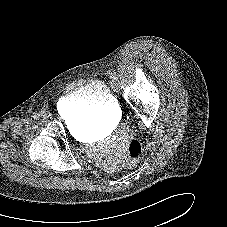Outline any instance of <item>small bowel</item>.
I'll list each match as a JSON object with an SVG mask.
<instances>
[{"mask_svg": "<svg viewBox=\"0 0 227 227\" xmlns=\"http://www.w3.org/2000/svg\"><path fill=\"white\" fill-rule=\"evenodd\" d=\"M119 157H120V152L119 151H110L102 156H100L98 158V163L104 167V168H107V169H113L118 160H119Z\"/></svg>", "mask_w": 227, "mask_h": 227, "instance_id": "1", "label": "small bowel"}]
</instances>
